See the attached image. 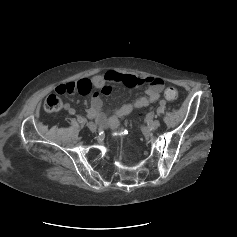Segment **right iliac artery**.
I'll use <instances>...</instances> for the list:
<instances>
[{"label": "right iliac artery", "mask_w": 237, "mask_h": 237, "mask_svg": "<svg viewBox=\"0 0 237 237\" xmlns=\"http://www.w3.org/2000/svg\"><path fill=\"white\" fill-rule=\"evenodd\" d=\"M69 113H70L71 115H74V114L76 113V111H75V109L70 108V109H69Z\"/></svg>", "instance_id": "right-iliac-artery-1"}]
</instances>
